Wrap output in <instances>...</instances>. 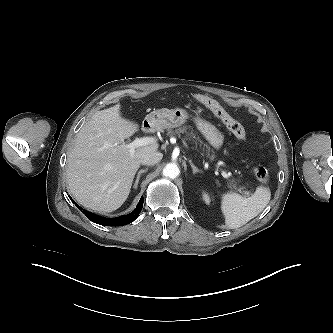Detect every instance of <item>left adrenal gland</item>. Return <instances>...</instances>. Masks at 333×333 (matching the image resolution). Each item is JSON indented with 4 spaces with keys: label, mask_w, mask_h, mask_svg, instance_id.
<instances>
[{
    "label": "left adrenal gland",
    "mask_w": 333,
    "mask_h": 333,
    "mask_svg": "<svg viewBox=\"0 0 333 333\" xmlns=\"http://www.w3.org/2000/svg\"><path fill=\"white\" fill-rule=\"evenodd\" d=\"M190 162V166L192 167V169H193V174H196V173H198V172H201L193 163H192V161L190 160L189 161Z\"/></svg>",
    "instance_id": "left-adrenal-gland-1"
}]
</instances>
